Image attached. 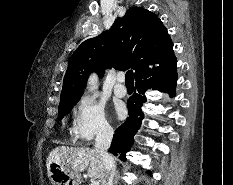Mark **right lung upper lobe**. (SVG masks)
Returning a JSON list of instances; mask_svg holds the SVG:
<instances>
[{"label":"right lung upper lobe","instance_id":"right-lung-upper-lobe-1","mask_svg":"<svg viewBox=\"0 0 233 185\" xmlns=\"http://www.w3.org/2000/svg\"><path fill=\"white\" fill-rule=\"evenodd\" d=\"M173 58V43L162 21L144 8H130L109 32L84 41L73 53L60 103L79 100L93 71L102 76L105 68L127 66L136 76L150 69L149 65H162Z\"/></svg>","mask_w":233,"mask_h":185}]
</instances>
